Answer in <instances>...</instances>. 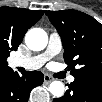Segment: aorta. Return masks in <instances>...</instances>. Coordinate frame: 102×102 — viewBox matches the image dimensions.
<instances>
[{"label": "aorta", "instance_id": "762f6f07", "mask_svg": "<svg viewBox=\"0 0 102 102\" xmlns=\"http://www.w3.org/2000/svg\"><path fill=\"white\" fill-rule=\"evenodd\" d=\"M48 43L47 33L40 28L31 29L26 35V44L33 51L43 50ZM49 91L54 97H61L64 94V84L60 81H53Z\"/></svg>", "mask_w": 102, "mask_h": 102}]
</instances>
